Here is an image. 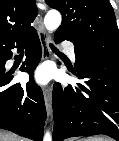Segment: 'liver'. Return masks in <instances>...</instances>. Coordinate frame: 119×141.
Segmentation results:
<instances>
[{"instance_id": "1", "label": "liver", "mask_w": 119, "mask_h": 141, "mask_svg": "<svg viewBox=\"0 0 119 141\" xmlns=\"http://www.w3.org/2000/svg\"><path fill=\"white\" fill-rule=\"evenodd\" d=\"M0 141H18V138L12 133L0 130Z\"/></svg>"}]
</instances>
